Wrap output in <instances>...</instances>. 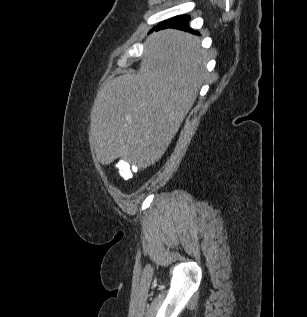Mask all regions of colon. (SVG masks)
<instances>
[{
  "label": "colon",
  "instance_id": "obj_1",
  "mask_svg": "<svg viewBox=\"0 0 307 317\" xmlns=\"http://www.w3.org/2000/svg\"><path fill=\"white\" fill-rule=\"evenodd\" d=\"M116 168L123 179H130L136 171L135 167L125 161H118L116 163Z\"/></svg>",
  "mask_w": 307,
  "mask_h": 317
}]
</instances>
